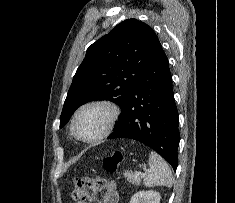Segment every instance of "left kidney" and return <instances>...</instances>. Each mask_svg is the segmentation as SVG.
Wrapping results in <instances>:
<instances>
[{"instance_id": "5707ae66", "label": "left kidney", "mask_w": 235, "mask_h": 203, "mask_svg": "<svg viewBox=\"0 0 235 203\" xmlns=\"http://www.w3.org/2000/svg\"><path fill=\"white\" fill-rule=\"evenodd\" d=\"M161 196L156 191H139L136 192L129 203H160Z\"/></svg>"}]
</instances>
